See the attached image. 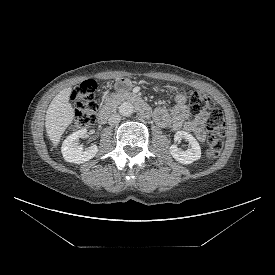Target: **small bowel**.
<instances>
[{
    "label": "small bowel",
    "instance_id": "small-bowel-1",
    "mask_svg": "<svg viewBox=\"0 0 275 275\" xmlns=\"http://www.w3.org/2000/svg\"><path fill=\"white\" fill-rule=\"evenodd\" d=\"M131 82L127 78L117 80L115 89L123 92L129 89ZM208 118V113L200 112L192 119L189 118V110L186 105V96L182 93L175 97V106L171 111L159 107L154 111V119L156 123L163 128H169L173 131L184 129L192 132L198 141L205 140L204 126Z\"/></svg>",
    "mask_w": 275,
    "mask_h": 275
}]
</instances>
